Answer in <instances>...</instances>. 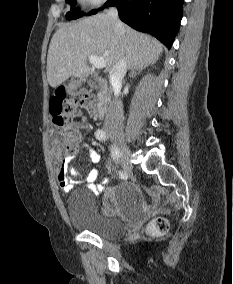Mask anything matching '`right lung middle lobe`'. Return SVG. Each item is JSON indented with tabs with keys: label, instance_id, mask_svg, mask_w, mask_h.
<instances>
[{
	"label": "right lung middle lobe",
	"instance_id": "right-lung-middle-lobe-1",
	"mask_svg": "<svg viewBox=\"0 0 233 284\" xmlns=\"http://www.w3.org/2000/svg\"><path fill=\"white\" fill-rule=\"evenodd\" d=\"M69 4H71V10L70 12H68L66 14V19L68 20H73V19H77L83 15H91L97 12V10H92L90 13L86 14V13H80L79 9L76 8L75 6V0H66Z\"/></svg>",
	"mask_w": 233,
	"mask_h": 284
}]
</instances>
